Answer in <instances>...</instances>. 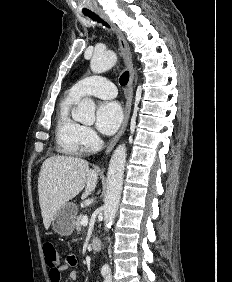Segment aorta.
Instances as JSON below:
<instances>
[{"mask_svg":"<svg viewBox=\"0 0 232 282\" xmlns=\"http://www.w3.org/2000/svg\"><path fill=\"white\" fill-rule=\"evenodd\" d=\"M117 62V55L110 50H97L90 61L94 73H103ZM76 121L92 124L95 121V103L90 98H84L73 114ZM126 147L119 145L113 152L107 173V191L104 199V227L108 231L115 219L123 187L124 169L126 163ZM102 271L110 272L108 264L102 266Z\"/></svg>","mask_w":232,"mask_h":282,"instance_id":"aorta-1","label":"aorta"}]
</instances>
